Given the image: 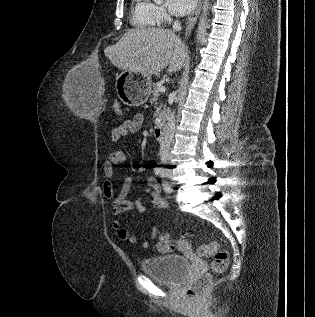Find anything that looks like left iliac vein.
I'll list each match as a JSON object with an SVG mask.
<instances>
[{
	"label": "left iliac vein",
	"instance_id": "1",
	"mask_svg": "<svg viewBox=\"0 0 315 317\" xmlns=\"http://www.w3.org/2000/svg\"><path fill=\"white\" fill-rule=\"evenodd\" d=\"M165 172L162 174V177H165ZM164 185H167V187H168V189L166 190V192H168V193H171L172 192V188H171V186L167 183V182H165L164 183Z\"/></svg>",
	"mask_w": 315,
	"mask_h": 317
}]
</instances>
